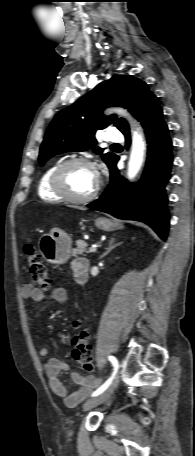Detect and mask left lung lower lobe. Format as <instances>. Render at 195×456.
I'll return each mask as SVG.
<instances>
[{
    "label": "left lung lower lobe",
    "instance_id": "left-lung-lower-lobe-1",
    "mask_svg": "<svg viewBox=\"0 0 195 456\" xmlns=\"http://www.w3.org/2000/svg\"><path fill=\"white\" fill-rule=\"evenodd\" d=\"M145 129L148 157L141 180L129 184L116 167L119 157L110 167V184L102 196L87 207L109 213L124 220H137L151 226L166 239L169 228L165 185L170 179L173 162L172 141L163 120L162 108L156 96L147 101L135 116ZM130 144L129 130L123 133Z\"/></svg>",
    "mask_w": 195,
    "mask_h": 456
}]
</instances>
